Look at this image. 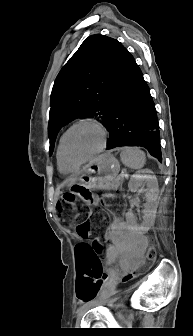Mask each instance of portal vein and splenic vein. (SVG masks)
<instances>
[{"mask_svg":"<svg viewBox=\"0 0 193 336\" xmlns=\"http://www.w3.org/2000/svg\"><path fill=\"white\" fill-rule=\"evenodd\" d=\"M124 176H126V174H124V173H121V174L119 175V177H121V178H123Z\"/></svg>","mask_w":193,"mask_h":336,"instance_id":"18ae733b","label":"portal vein and splenic vein"}]
</instances>
